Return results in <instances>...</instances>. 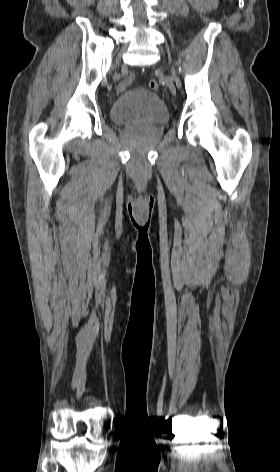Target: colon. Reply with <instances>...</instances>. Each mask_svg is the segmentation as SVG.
Wrapping results in <instances>:
<instances>
[{
    "instance_id": "obj_1",
    "label": "colon",
    "mask_w": 280,
    "mask_h": 472,
    "mask_svg": "<svg viewBox=\"0 0 280 472\" xmlns=\"http://www.w3.org/2000/svg\"><path fill=\"white\" fill-rule=\"evenodd\" d=\"M149 88L156 91L159 88V84L156 80L152 79L149 81Z\"/></svg>"
}]
</instances>
